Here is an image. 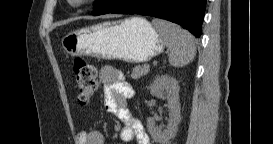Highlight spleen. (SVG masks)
<instances>
[{
    "label": "spleen",
    "instance_id": "1",
    "mask_svg": "<svg viewBox=\"0 0 273 144\" xmlns=\"http://www.w3.org/2000/svg\"><path fill=\"white\" fill-rule=\"evenodd\" d=\"M152 24L170 50L169 62L173 67H183L193 61L196 46L191 33L174 23L161 19H153Z\"/></svg>",
    "mask_w": 273,
    "mask_h": 144
}]
</instances>
